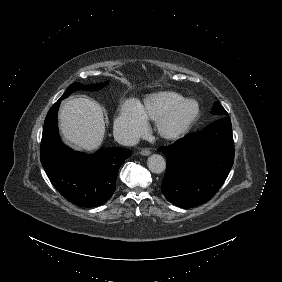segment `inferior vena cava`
<instances>
[{
    "instance_id": "1",
    "label": "inferior vena cava",
    "mask_w": 282,
    "mask_h": 282,
    "mask_svg": "<svg viewBox=\"0 0 282 282\" xmlns=\"http://www.w3.org/2000/svg\"><path fill=\"white\" fill-rule=\"evenodd\" d=\"M113 136L117 143L125 146L136 145L139 141L136 134L123 126H114Z\"/></svg>"
}]
</instances>
